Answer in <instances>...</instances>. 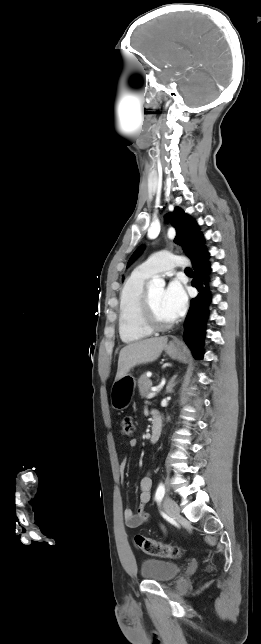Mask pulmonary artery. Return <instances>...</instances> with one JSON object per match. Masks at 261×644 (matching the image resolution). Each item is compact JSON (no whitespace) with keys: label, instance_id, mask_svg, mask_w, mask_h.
Segmentation results:
<instances>
[{"label":"pulmonary artery","instance_id":"pulmonary-artery-1","mask_svg":"<svg viewBox=\"0 0 261 644\" xmlns=\"http://www.w3.org/2000/svg\"><path fill=\"white\" fill-rule=\"evenodd\" d=\"M187 265L188 260L183 256L169 252H159L142 263L138 270L151 276L168 272L174 268H185Z\"/></svg>","mask_w":261,"mask_h":644}]
</instances>
